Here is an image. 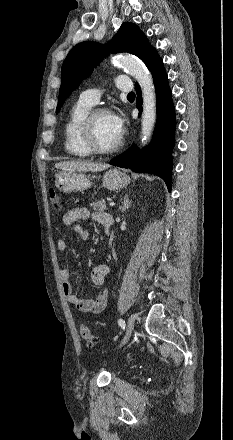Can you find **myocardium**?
I'll list each match as a JSON object with an SVG mask.
<instances>
[{
	"instance_id": "obj_1",
	"label": "myocardium",
	"mask_w": 233,
	"mask_h": 440,
	"mask_svg": "<svg viewBox=\"0 0 233 440\" xmlns=\"http://www.w3.org/2000/svg\"><path fill=\"white\" fill-rule=\"evenodd\" d=\"M102 114H111V111L106 108L91 109L85 116L80 127V139L84 147L95 155H110L121 149L124 143L123 135H120L118 141L110 148L99 147L94 140V121Z\"/></svg>"
}]
</instances>
